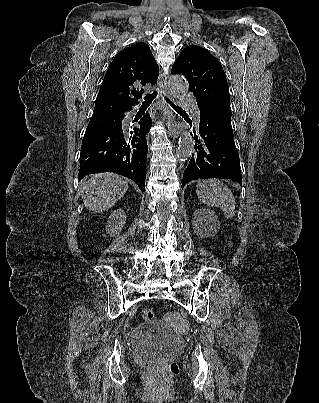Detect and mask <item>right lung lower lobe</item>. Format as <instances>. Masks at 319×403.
Here are the masks:
<instances>
[{"label":"right lung lower lobe","mask_w":319,"mask_h":403,"mask_svg":"<svg viewBox=\"0 0 319 403\" xmlns=\"http://www.w3.org/2000/svg\"><path fill=\"white\" fill-rule=\"evenodd\" d=\"M131 108L92 115L80 153L79 178L99 172H113L132 179L145 190L146 134L151 127L149 114L137 121V126L122 127L124 112Z\"/></svg>","instance_id":"98d812e1"}]
</instances>
